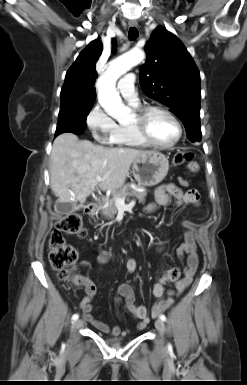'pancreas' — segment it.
Returning <instances> with one entry per match:
<instances>
[{
	"instance_id": "obj_1",
	"label": "pancreas",
	"mask_w": 247,
	"mask_h": 385,
	"mask_svg": "<svg viewBox=\"0 0 247 385\" xmlns=\"http://www.w3.org/2000/svg\"><path fill=\"white\" fill-rule=\"evenodd\" d=\"M138 187L143 188L142 186ZM146 195L147 192L145 190H134L130 185H125L120 190L113 193L112 199H103L102 215L107 219L114 218L118 211L115 204L116 198H122L129 201L130 197H135L138 199L139 203H144Z\"/></svg>"
}]
</instances>
